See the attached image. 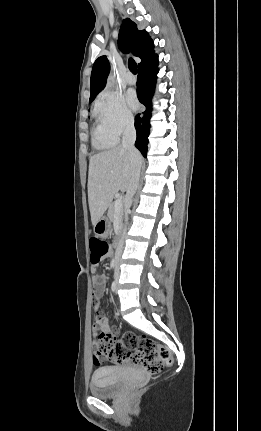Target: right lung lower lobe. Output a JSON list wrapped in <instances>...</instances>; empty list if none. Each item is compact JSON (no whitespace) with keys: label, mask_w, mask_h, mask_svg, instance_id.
Here are the masks:
<instances>
[{"label":"right lung lower lobe","mask_w":261,"mask_h":431,"mask_svg":"<svg viewBox=\"0 0 261 431\" xmlns=\"http://www.w3.org/2000/svg\"><path fill=\"white\" fill-rule=\"evenodd\" d=\"M138 69L137 96L146 109L142 118L139 114L135 117V129L137 132L135 146L141 151L143 156L146 157L152 110L151 98L154 93L156 75L158 73V56L154 54L140 65Z\"/></svg>","instance_id":"1"}]
</instances>
